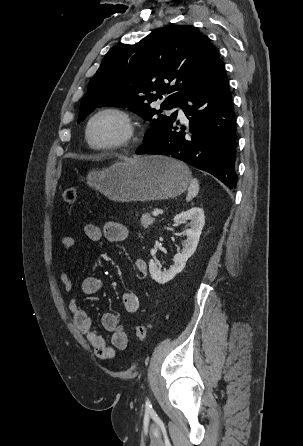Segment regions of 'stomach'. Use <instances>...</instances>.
Returning a JSON list of instances; mask_svg holds the SVG:
<instances>
[{
  "label": "stomach",
  "instance_id": "1",
  "mask_svg": "<svg viewBox=\"0 0 303 446\" xmlns=\"http://www.w3.org/2000/svg\"><path fill=\"white\" fill-rule=\"evenodd\" d=\"M87 181L116 202L150 201L182 194L191 182V173L181 161L150 155L92 170Z\"/></svg>",
  "mask_w": 303,
  "mask_h": 446
}]
</instances>
